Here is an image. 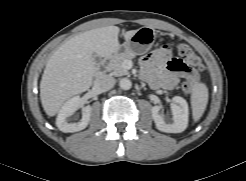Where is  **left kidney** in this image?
Segmentation results:
<instances>
[{
    "mask_svg": "<svg viewBox=\"0 0 246 181\" xmlns=\"http://www.w3.org/2000/svg\"><path fill=\"white\" fill-rule=\"evenodd\" d=\"M171 110L173 115L172 122H168L164 118L160 106L152 107V118L155 122L156 128L166 133H181L188 125L189 108L187 101L180 96L173 97Z\"/></svg>",
    "mask_w": 246,
    "mask_h": 181,
    "instance_id": "obj_1",
    "label": "left kidney"
}]
</instances>
